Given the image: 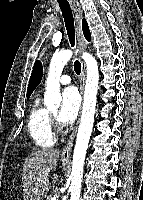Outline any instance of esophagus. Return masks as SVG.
Returning <instances> with one entry per match:
<instances>
[{"instance_id": "esophagus-1", "label": "esophagus", "mask_w": 143, "mask_h": 200, "mask_svg": "<svg viewBox=\"0 0 143 200\" xmlns=\"http://www.w3.org/2000/svg\"><path fill=\"white\" fill-rule=\"evenodd\" d=\"M72 9L74 11L75 20H76V34H77L78 46H79L80 51H84L87 48V41L83 35L82 26H81L83 11L81 9V6L78 3H73ZM85 80H86V65L84 61H81V75H80L81 95H83ZM77 127H78V122L63 148L61 157H62V160L64 161L70 160L71 151H72L74 139L77 132Z\"/></svg>"}]
</instances>
